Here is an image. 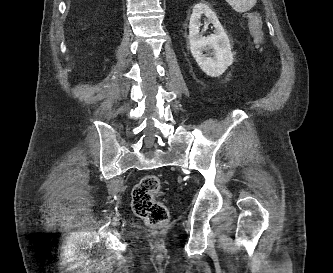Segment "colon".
Masks as SVG:
<instances>
[{"instance_id": "1", "label": "colon", "mask_w": 333, "mask_h": 273, "mask_svg": "<svg viewBox=\"0 0 333 273\" xmlns=\"http://www.w3.org/2000/svg\"><path fill=\"white\" fill-rule=\"evenodd\" d=\"M249 29L258 44L264 41L263 22L258 14L249 15ZM161 188V180L156 175L143 177L133 188L132 209L152 227H162L169 219L167 207L156 196Z\"/></svg>"}]
</instances>
